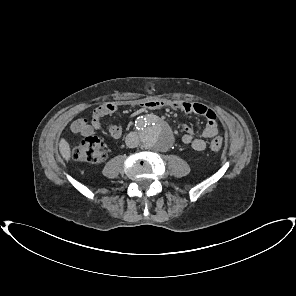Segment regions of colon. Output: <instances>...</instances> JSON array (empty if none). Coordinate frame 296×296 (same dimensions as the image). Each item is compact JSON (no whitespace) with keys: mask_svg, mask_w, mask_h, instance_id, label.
<instances>
[{"mask_svg":"<svg viewBox=\"0 0 296 296\" xmlns=\"http://www.w3.org/2000/svg\"><path fill=\"white\" fill-rule=\"evenodd\" d=\"M222 147L221 138H214L210 143L213 151H219ZM72 157L77 161L100 164L107 159V152L104 143L99 138L89 135L74 144Z\"/></svg>","mask_w":296,"mask_h":296,"instance_id":"colon-1","label":"colon"}]
</instances>
